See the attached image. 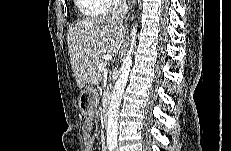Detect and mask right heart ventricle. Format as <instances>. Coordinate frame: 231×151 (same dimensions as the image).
Segmentation results:
<instances>
[{"label": "right heart ventricle", "instance_id": "right-heart-ventricle-1", "mask_svg": "<svg viewBox=\"0 0 231 151\" xmlns=\"http://www.w3.org/2000/svg\"><path fill=\"white\" fill-rule=\"evenodd\" d=\"M77 3H78L79 11L81 12L85 20L95 18L106 12L104 1L79 0Z\"/></svg>", "mask_w": 231, "mask_h": 151}]
</instances>
